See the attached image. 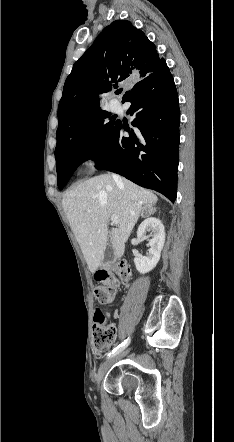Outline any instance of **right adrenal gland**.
Returning <instances> with one entry per match:
<instances>
[{"instance_id":"2a0ac1e0","label":"right adrenal gland","mask_w":234,"mask_h":442,"mask_svg":"<svg viewBox=\"0 0 234 442\" xmlns=\"http://www.w3.org/2000/svg\"><path fill=\"white\" fill-rule=\"evenodd\" d=\"M146 210V207H143V212L141 214L142 217H144V211Z\"/></svg>"}]
</instances>
